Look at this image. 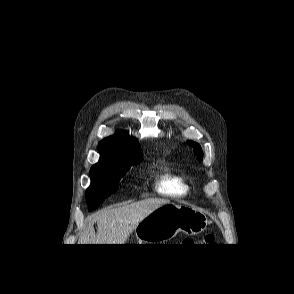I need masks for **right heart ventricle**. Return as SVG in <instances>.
Instances as JSON below:
<instances>
[{
    "label": "right heart ventricle",
    "instance_id": "obj_1",
    "mask_svg": "<svg viewBox=\"0 0 294 294\" xmlns=\"http://www.w3.org/2000/svg\"><path fill=\"white\" fill-rule=\"evenodd\" d=\"M154 190L166 196H183L190 191V185L186 178L166 167L153 185Z\"/></svg>",
    "mask_w": 294,
    "mask_h": 294
}]
</instances>
